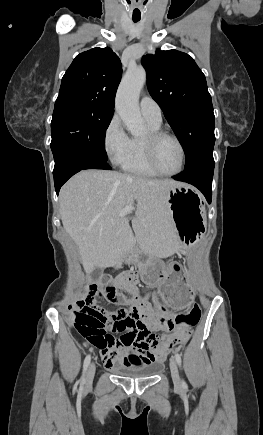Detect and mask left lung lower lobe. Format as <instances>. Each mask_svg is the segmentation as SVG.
Listing matches in <instances>:
<instances>
[{
	"label": "left lung lower lobe",
	"mask_w": 263,
	"mask_h": 435,
	"mask_svg": "<svg viewBox=\"0 0 263 435\" xmlns=\"http://www.w3.org/2000/svg\"><path fill=\"white\" fill-rule=\"evenodd\" d=\"M214 159L212 152L204 154L186 167L182 175L173 176L175 180L187 182L197 187L211 202Z\"/></svg>",
	"instance_id": "obj_1"
}]
</instances>
